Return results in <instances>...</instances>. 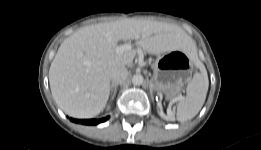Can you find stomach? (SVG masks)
Segmentation results:
<instances>
[{"label":"stomach","instance_id":"obj_1","mask_svg":"<svg viewBox=\"0 0 261 150\" xmlns=\"http://www.w3.org/2000/svg\"><path fill=\"white\" fill-rule=\"evenodd\" d=\"M192 62L182 50L158 56L154 63L153 87L157 92L177 91L190 77Z\"/></svg>","mask_w":261,"mask_h":150}]
</instances>
